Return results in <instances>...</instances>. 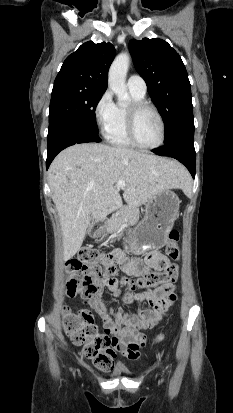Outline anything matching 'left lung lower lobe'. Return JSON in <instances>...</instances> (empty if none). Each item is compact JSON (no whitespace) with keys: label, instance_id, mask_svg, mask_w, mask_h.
<instances>
[{"label":"left lung lower lobe","instance_id":"0a47b994","mask_svg":"<svg viewBox=\"0 0 233 413\" xmlns=\"http://www.w3.org/2000/svg\"><path fill=\"white\" fill-rule=\"evenodd\" d=\"M194 137H181L173 141L170 145L153 150L160 156H169L183 163L192 177L195 178L196 153L193 143Z\"/></svg>","mask_w":233,"mask_h":413}]
</instances>
